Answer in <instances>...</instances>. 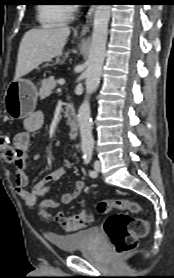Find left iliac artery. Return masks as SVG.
Listing matches in <instances>:
<instances>
[{"mask_svg":"<svg viewBox=\"0 0 174 278\" xmlns=\"http://www.w3.org/2000/svg\"><path fill=\"white\" fill-rule=\"evenodd\" d=\"M83 158H84V163L87 165L90 163L91 159H92V150L91 149H88V150H85L84 151V155H83ZM89 175L91 177H96L97 176V173L95 171H92L90 170L89 171Z\"/></svg>","mask_w":174,"mask_h":278,"instance_id":"left-iliac-artery-1","label":"left iliac artery"}]
</instances>
